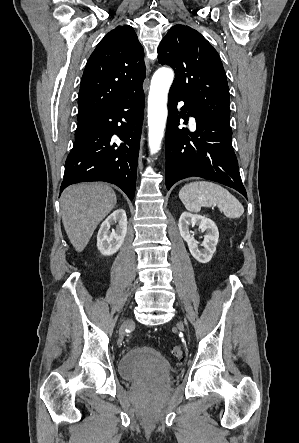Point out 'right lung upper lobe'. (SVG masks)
Returning <instances> with one entry per match:
<instances>
[{
    "label": "right lung upper lobe",
    "instance_id": "right-lung-upper-lobe-1",
    "mask_svg": "<svg viewBox=\"0 0 299 443\" xmlns=\"http://www.w3.org/2000/svg\"><path fill=\"white\" fill-rule=\"evenodd\" d=\"M143 48L129 25L107 33L91 54L81 81L78 123L142 88Z\"/></svg>",
    "mask_w": 299,
    "mask_h": 443
}]
</instances>
